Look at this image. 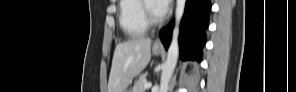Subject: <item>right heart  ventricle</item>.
Segmentation results:
<instances>
[{
	"mask_svg": "<svg viewBox=\"0 0 296 92\" xmlns=\"http://www.w3.org/2000/svg\"><path fill=\"white\" fill-rule=\"evenodd\" d=\"M119 24L129 37L145 34L148 26L143 19V1L122 0L119 7Z\"/></svg>",
	"mask_w": 296,
	"mask_h": 92,
	"instance_id": "1",
	"label": "right heart ventricle"
}]
</instances>
